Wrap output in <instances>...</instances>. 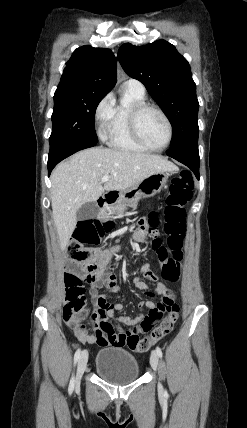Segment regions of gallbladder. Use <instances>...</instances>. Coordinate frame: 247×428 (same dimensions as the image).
<instances>
[{
  "instance_id": "gallbladder-1",
  "label": "gallbladder",
  "mask_w": 247,
  "mask_h": 428,
  "mask_svg": "<svg viewBox=\"0 0 247 428\" xmlns=\"http://www.w3.org/2000/svg\"><path fill=\"white\" fill-rule=\"evenodd\" d=\"M99 208L95 202L84 203L77 211L76 218L78 221H85L97 216Z\"/></svg>"
}]
</instances>
